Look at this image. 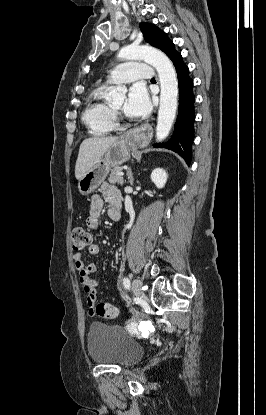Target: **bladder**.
Instances as JSON below:
<instances>
[{
  "label": "bladder",
  "instance_id": "1",
  "mask_svg": "<svg viewBox=\"0 0 266 415\" xmlns=\"http://www.w3.org/2000/svg\"><path fill=\"white\" fill-rule=\"evenodd\" d=\"M87 350L94 363L121 367L135 365L144 354L142 346L124 329L99 322L89 328Z\"/></svg>",
  "mask_w": 266,
  "mask_h": 415
}]
</instances>
